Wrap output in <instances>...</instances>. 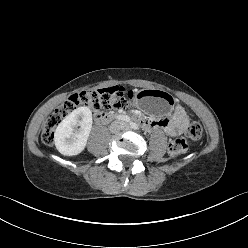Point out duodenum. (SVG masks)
Listing matches in <instances>:
<instances>
[{
    "label": "duodenum",
    "instance_id": "duodenum-1",
    "mask_svg": "<svg viewBox=\"0 0 248 248\" xmlns=\"http://www.w3.org/2000/svg\"><path fill=\"white\" fill-rule=\"evenodd\" d=\"M110 117V115H105V114H97L96 115V119L99 120V121H103V120H106Z\"/></svg>",
    "mask_w": 248,
    "mask_h": 248
}]
</instances>
